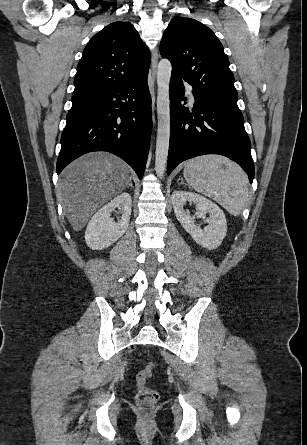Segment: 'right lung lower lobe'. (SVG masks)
I'll return each mask as SVG.
<instances>
[{
  "mask_svg": "<svg viewBox=\"0 0 307 445\" xmlns=\"http://www.w3.org/2000/svg\"><path fill=\"white\" fill-rule=\"evenodd\" d=\"M147 75L72 97L61 137L58 174L87 152L108 151L125 160L142 178L152 127Z\"/></svg>",
  "mask_w": 307,
  "mask_h": 445,
  "instance_id": "right-lung-lower-lobe-1",
  "label": "right lung lower lobe"
}]
</instances>
